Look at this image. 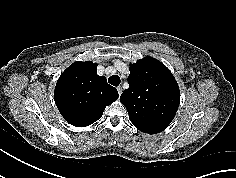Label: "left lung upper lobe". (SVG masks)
<instances>
[{"label":"left lung upper lobe","instance_id":"left-lung-upper-lobe-1","mask_svg":"<svg viewBox=\"0 0 236 178\" xmlns=\"http://www.w3.org/2000/svg\"><path fill=\"white\" fill-rule=\"evenodd\" d=\"M128 83L120 101L134 126L149 134L166 129L180 103L179 87L170 70L147 56L130 65Z\"/></svg>","mask_w":236,"mask_h":178}]
</instances>
